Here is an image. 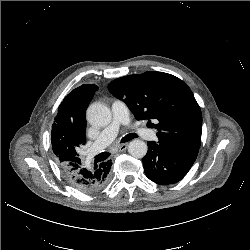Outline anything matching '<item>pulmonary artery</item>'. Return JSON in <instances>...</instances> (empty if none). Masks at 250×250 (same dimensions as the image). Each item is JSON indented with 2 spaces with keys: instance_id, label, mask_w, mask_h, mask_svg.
I'll use <instances>...</instances> for the list:
<instances>
[{
  "instance_id": "e3ab8cb5",
  "label": "pulmonary artery",
  "mask_w": 250,
  "mask_h": 250,
  "mask_svg": "<svg viewBox=\"0 0 250 250\" xmlns=\"http://www.w3.org/2000/svg\"><path fill=\"white\" fill-rule=\"evenodd\" d=\"M111 109L113 115L112 122L101 132L97 140L86 151L87 160L92 159L107 147L116 138L121 127H131L128 109L122 101H114ZM138 133L144 139H156V133L153 129L140 127Z\"/></svg>"
}]
</instances>
